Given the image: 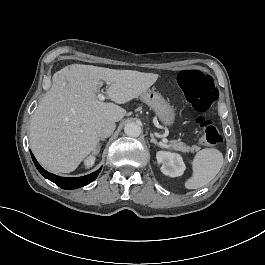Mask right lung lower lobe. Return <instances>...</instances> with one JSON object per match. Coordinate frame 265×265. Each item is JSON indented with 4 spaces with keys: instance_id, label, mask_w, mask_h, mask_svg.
Masks as SVG:
<instances>
[{
    "instance_id": "1",
    "label": "right lung lower lobe",
    "mask_w": 265,
    "mask_h": 265,
    "mask_svg": "<svg viewBox=\"0 0 265 265\" xmlns=\"http://www.w3.org/2000/svg\"><path fill=\"white\" fill-rule=\"evenodd\" d=\"M31 156H32L33 162H34L35 166L37 167L38 171L45 178L54 182L56 185H58L59 187H61L63 189H69L70 190V189H76V188L82 187L84 185H87L90 182H92L93 180H95L96 177L98 176V173L101 171V168H100L99 170H97L94 173H91V174L83 176V177H77V178L59 177V176H56V175L51 174V173L47 172L46 170H44L39 165V163L36 161V159L32 153H31Z\"/></svg>"
}]
</instances>
